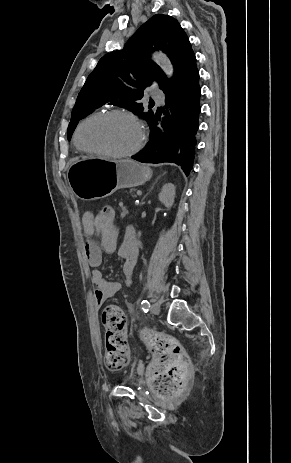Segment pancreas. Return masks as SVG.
<instances>
[{
    "mask_svg": "<svg viewBox=\"0 0 291 463\" xmlns=\"http://www.w3.org/2000/svg\"><path fill=\"white\" fill-rule=\"evenodd\" d=\"M135 192H136V189L132 188V189H130L129 191H126L125 193H126V196H127V197L135 198V197H136Z\"/></svg>",
    "mask_w": 291,
    "mask_h": 463,
    "instance_id": "obj_1",
    "label": "pancreas"
}]
</instances>
